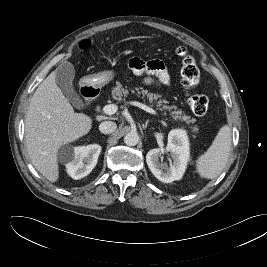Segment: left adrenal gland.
I'll return each instance as SVG.
<instances>
[{"mask_svg": "<svg viewBox=\"0 0 267 267\" xmlns=\"http://www.w3.org/2000/svg\"><path fill=\"white\" fill-rule=\"evenodd\" d=\"M148 123H149V121H147V122L145 123V125H144V124L142 125L143 129H146V128H147Z\"/></svg>", "mask_w": 267, "mask_h": 267, "instance_id": "obj_1", "label": "left adrenal gland"}]
</instances>
